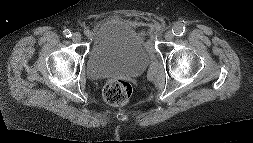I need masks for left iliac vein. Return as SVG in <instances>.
Listing matches in <instances>:
<instances>
[{"label": "left iliac vein", "mask_w": 253, "mask_h": 143, "mask_svg": "<svg viewBox=\"0 0 253 143\" xmlns=\"http://www.w3.org/2000/svg\"><path fill=\"white\" fill-rule=\"evenodd\" d=\"M174 38V34H173V32L172 31H167L166 33H165V39L167 40V41H171L172 39Z\"/></svg>", "instance_id": "left-iliac-vein-1"}]
</instances>
